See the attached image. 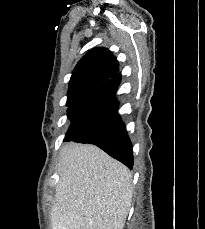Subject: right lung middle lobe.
<instances>
[{
  "mask_svg": "<svg viewBox=\"0 0 205 229\" xmlns=\"http://www.w3.org/2000/svg\"><path fill=\"white\" fill-rule=\"evenodd\" d=\"M75 102H76V101H67L66 105L70 107V106L73 105Z\"/></svg>",
  "mask_w": 205,
  "mask_h": 229,
  "instance_id": "1",
  "label": "right lung middle lobe"
}]
</instances>
